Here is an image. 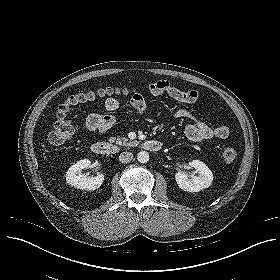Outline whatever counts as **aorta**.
Here are the masks:
<instances>
[{"label": "aorta", "instance_id": "762f6f07", "mask_svg": "<svg viewBox=\"0 0 280 280\" xmlns=\"http://www.w3.org/2000/svg\"><path fill=\"white\" fill-rule=\"evenodd\" d=\"M137 160L140 163H147L149 161V154L146 151H140L137 154Z\"/></svg>", "mask_w": 280, "mask_h": 280}]
</instances>
